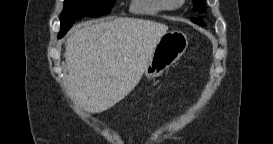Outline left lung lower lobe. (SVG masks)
I'll return each instance as SVG.
<instances>
[{"mask_svg": "<svg viewBox=\"0 0 273 144\" xmlns=\"http://www.w3.org/2000/svg\"><path fill=\"white\" fill-rule=\"evenodd\" d=\"M194 23H196V24H199V25H205L204 23H203V21L202 20H200V19H197V18H195L194 20H192Z\"/></svg>", "mask_w": 273, "mask_h": 144, "instance_id": "1", "label": "left lung lower lobe"}]
</instances>
